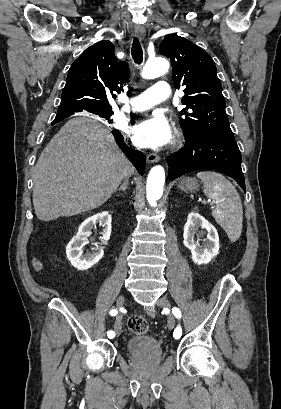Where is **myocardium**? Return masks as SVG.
I'll return each mask as SVG.
<instances>
[{
	"label": "myocardium",
	"instance_id": "f54148a6",
	"mask_svg": "<svg viewBox=\"0 0 281 409\" xmlns=\"http://www.w3.org/2000/svg\"><path fill=\"white\" fill-rule=\"evenodd\" d=\"M182 134L180 132H176L172 138L171 145L172 147L178 146L182 142Z\"/></svg>",
	"mask_w": 281,
	"mask_h": 409
}]
</instances>
